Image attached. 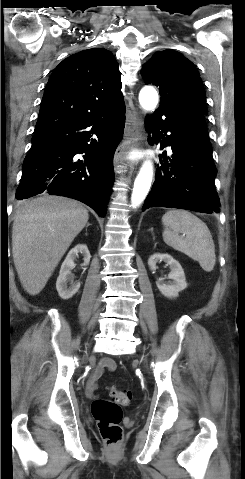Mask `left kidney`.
Masks as SVG:
<instances>
[{"label": "left kidney", "instance_id": "left-kidney-1", "mask_svg": "<svg viewBox=\"0 0 245 479\" xmlns=\"http://www.w3.org/2000/svg\"><path fill=\"white\" fill-rule=\"evenodd\" d=\"M164 261L169 267L171 272L168 274L170 281L164 282L165 278H159L156 282L159 291L168 298H176L179 292L187 287L184 271L172 256L169 254L156 253L150 256L148 259V265L151 271L157 269V263Z\"/></svg>", "mask_w": 245, "mask_h": 479}]
</instances>
